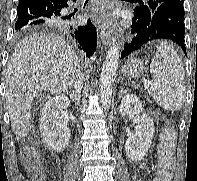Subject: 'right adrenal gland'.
Wrapping results in <instances>:
<instances>
[{"label": "right adrenal gland", "instance_id": "1", "mask_svg": "<svg viewBox=\"0 0 197 181\" xmlns=\"http://www.w3.org/2000/svg\"><path fill=\"white\" fill-rule=\"evenodd\" d=\"M67 94H68V92H67ZM69 97H70L71 101L75 103V105H79L80 100H77V99L75 98L74 92H69Z\"/></svg>", "mask_w": 197, "mask_h": 181}]
</instances>
